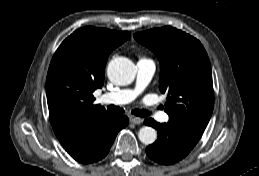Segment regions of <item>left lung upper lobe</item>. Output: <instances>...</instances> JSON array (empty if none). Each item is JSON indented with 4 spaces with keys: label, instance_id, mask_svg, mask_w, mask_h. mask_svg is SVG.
I'll list each match as a JSON object with an SVG mask.
<instances>
[{
    "label": "left lung upper lobe",
    "instance_id": "left-lung-upper-lobe-1",
    "mask_svg": "<svg viewBox=\"0 0 259 176\" xmlns=\"http://www.w3.org/2000/svg\"><path fill=\"white\" fill-rule=\"evenodd\" d=\"M160 60L159 89L167 94L169 122L202 134L214 106L208 55L199 40L165 26L134 34Z\"/></svg>",
    "mask_w": 259,
    "mask_h": 176
}]
</instances>
